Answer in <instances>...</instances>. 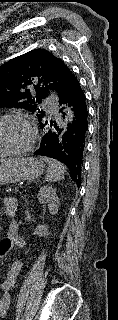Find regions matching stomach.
I'll list each match as a JSON object with an SVG mask.
<instances>
[{"label": "stomach", "instance_id": "stomach-1", "mask_svg": "<svg viewBox=\"0 0 118 320\" xmlns=\"http://www.w3.org/2000/svg\"><path fill=\"white\" fill-rule=\"evenodd\" d=\"M45 164L35 157H18L0 163V185L34 180L44 172Z\"/></svg>", "mask_w": 118, "mask_h": 320}]
</instances>
